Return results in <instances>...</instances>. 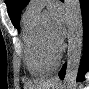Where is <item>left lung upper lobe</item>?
Here are the masks:
<instances>
[{
	"label": "left lung upper lobe",
	"instance_id": "left-lung-upper-lobe-1",
	"mask_svg": "<svg viewBox=\"0 0 89 89\" xmlns=\"http://www.w3.org/2000/svg\"><path fill=\"white\" fill-rule=\"evenodd\" d=\"M9 17L13 25L20 30V15L22 9L28 4L29 0H5Z\"/></svg>",
	"mask_w": 89,
	"mask_h": 89
}]
</instances>
